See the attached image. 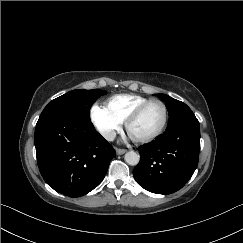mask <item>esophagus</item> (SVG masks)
Returning a JSON list of instances; mask_svg holds the SVG:
<instances>
[{
    "label": "esophagus",
    "mask_w": 243,
    "mask_h": 243,
    "mask_svg": "<svg viewBox=\"0 0 243 243\" xmlns=\"http://www.w3.org/2000/svg\"><path fill=\"white\" fill-rule=\"evenodd\" d=\"M125 152H126L125 149H120V148H117V149H116V153H117V155H122V154H124Z\"/></svg>",
    "instance_id": "1"
}]
</instances>
